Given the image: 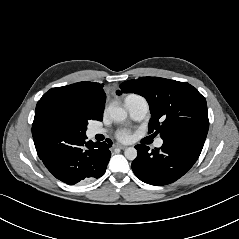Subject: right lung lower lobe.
I'll return each mask as SVG.
<instances>
[{
  "label": "right lung lower lobe",
  "mask_w": 239,
  "mask_h": 239,
  "mask_svg": "<svg viewBox=\"0 0 239 239\" xmlns=\"http://www.w3.org/2000/svg\"><path fill=\"white\" fill-rule=\"evenodd\" d=\"M111 145V141L94 143L83 135L69 136L36 150L57 179L73 185L93 181L105 173Z\"/></svg>",
  "instance_id": "obj_1"
}]
</instances>
